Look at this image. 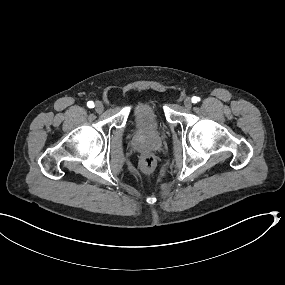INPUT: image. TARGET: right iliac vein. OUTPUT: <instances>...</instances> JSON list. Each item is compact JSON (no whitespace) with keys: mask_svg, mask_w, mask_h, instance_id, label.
Instances as JSON below:
<instances>
[{"mask_svg":"<svg viewBox=\"0 0 285 285\" xmlns=\"http://www.w3.org/2000/svg\"><path fill=\"white\" fill-rule=\"evenodd\" d=\"M95 110L98 112V113H102L103 110H104V106L101 102H97L96 105H95Z\"/></svg>","mask_w":285,"mask_h":285,"instance_id":"obj_1","label":"right iliac vein"}]
</instances>
